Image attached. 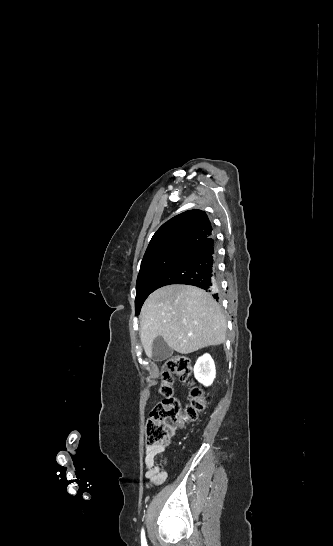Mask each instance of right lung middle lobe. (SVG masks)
<instances>
[{"label": "right lung middle lobe", "instance_id": "obj_1", "mask_svg": "<svg viewBox=\"0 0 333 546\" xmlns=\"http://www.w3.org/2000/svg\"><path fill=\"white\" fill-rule=\"evenodd\" d=\"M191 248L173 247L154 253L141 262L136 284L135 309L139 313L144 300L156 289L158 280Z\"/></svg>", "mask_w": 333, "mask_h": 546}]
</instances>
